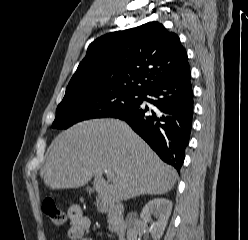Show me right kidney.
I'll return each instance as SVG.
<instances>
[{
    "instance_id": "right-kidney-1",
    "label": "right kidney",
    "mask_w": 248,
    "mask_h": 240,
    "mask_svg": "<svg viewBox=\"0 0 248 240\" xmlns=\"http://www.w3.org/2000/svg\"><path fill=\"white\" fill-rule=\"evenodd\" d=\"M172 210V202L165 198H155L150 200L142 209L141 225L139 227L131 224L127 231V240H140L138 235H142L147 223H151V236L153 240H160ZM152 215L156 221H152Z\"/></svg>"
}]
</instances>
